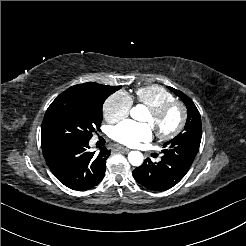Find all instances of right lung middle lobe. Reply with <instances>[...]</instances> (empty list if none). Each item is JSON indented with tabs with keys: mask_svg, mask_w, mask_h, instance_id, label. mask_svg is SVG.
I'll return each instance as SVG.
<instances>
[{
	"mask_svg": "<svg viewBox=\"0 0 246 246\" xmlns=\"http://www.w3.org/2000/svg\"><path fill=\"white\" fill-rule=\"evenodd\" d=\"M88 84L72 86L52 102L41 126V142L89 141L99 130L103 103L121 86L114 89L94 82Z\"/></svg>",
	"mask_w": 246,
	"mask_h": 246,
	"instance_id": "right-lung-middle-lobe-1",
	"label": "right lung middle lobe"
}]
</instances>
